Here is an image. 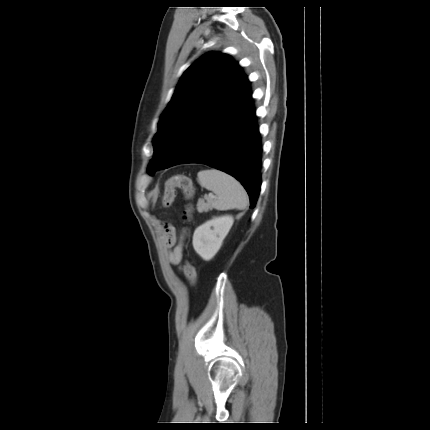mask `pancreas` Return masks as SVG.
<instances>
[{
  "label": "pancreas",
  "instance_id": "pancreas-1",
  "mask_svg": "<svg viewBox=\"0 0 430 430\" xmlns=\"http://www.w3.org/2000/svg\"><path fill=\"white\" fill-rule=\"evenodd\" d=\"M210 203H211V198H207L206 203L203 199H200L197 203V211L199 213H203V212H208L209 210H212Z\"/></svg>",
  "mask_w": 430,
  "mask_h": 430
}]
</instances>
